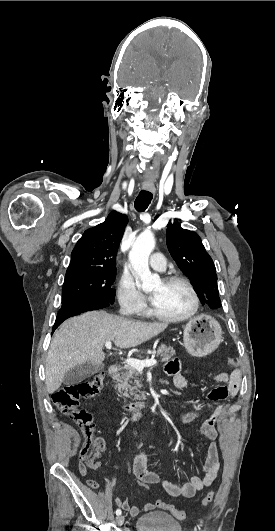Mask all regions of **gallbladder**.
<instances>
[{"label": "gallbladder", "instance_id": "1", "mask_svg": "<svg viewBox=\"0 0 275 531\" xmlns=\"http://www.w3.org/2000/svg\"><path fill=\"white\" fill-rule=\"evenodd\" d=\"M102 369H104L103 363H101V365H86L85 363V365L73 367L71 371L65 373L63 383L64 385H79L81 381L88 379V377H92V375L99 373V371H102Z\"/></svg>", "mask_w": 275, "mask_h": 531}]
</instances>
